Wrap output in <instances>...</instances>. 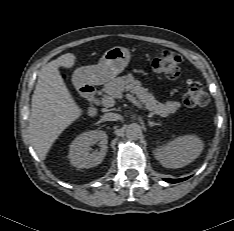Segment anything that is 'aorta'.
<instances>
[{
	"instance_id": "762f6f07",
	"label": "aorta",
	"mask_w": 234,
	"mask_h": 231,
	"mask_svg": "<svg viewBox=\"0 0 234 231\" xmlns=\"http://www.w3.org/2000/svg\"><path fill=\"white\" fill-rule=\"evenodd\" d=\"M125 132H126L127 138H129L131 140L138 139L142 134L141 127L137 123H132V124L128 125L126 127Z\"/></svg>"
}]
</instances>
